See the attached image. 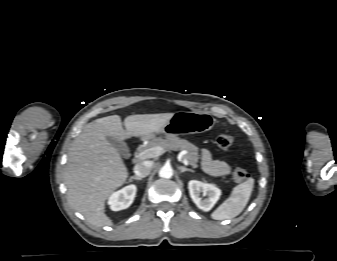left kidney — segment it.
Instances as JSON below:
<instances>
[{
    "label": "left kidney",
    "mask_w": 337,
    "mask_h": 261,
    "mask_svg": "<svg viewBox=\"0 0 337 261\" xmlns=\"http://www.w3.org/2000/svg\"><path fill=\"white\" fill-rule=\"evenodd\" d=\"M188 189L193 202L203 211H210L221 195V190L216 186L197 180L189 181ZM201 193L207 198L202 199L200 197Z\"/></svg>",
    "instance_id": "1"
}]
</instances>
